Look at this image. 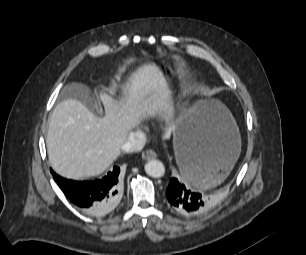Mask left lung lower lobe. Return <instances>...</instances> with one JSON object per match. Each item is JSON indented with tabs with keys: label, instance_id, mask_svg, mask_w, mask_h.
I'll use <instances>...</instances> for the list:
<instances>
[{
	"label": "left lung lower lobe",
	"instance_id": "obj_1",
	"mask_svg": "<svg viewBox=\"0 0 306 255\" xmlns=\"http://www.w3.org/2000/svg\"><path fill=\"white\" fill-rule=\"evenodd\" d=\"M210 171L208 163L191 153H185L181 165L182 176L185 180L204 179L209 176ZM166 197L172 209L186 216L198 215L208 209L211 204L208 196L191 191L177 178L170 180Z\"/></svg>",
	"mask_w": 306,
	"mask_h": 255
}]
</instances>
